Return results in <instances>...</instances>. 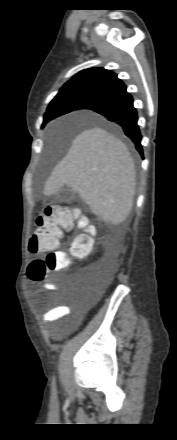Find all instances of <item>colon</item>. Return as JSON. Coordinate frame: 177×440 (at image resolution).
I'll return each instance as SVG.
<instances>
[{"label":"colon","mask_w":177,"mask_h":440,"mask_svg":"<svg viewBox=\"0 0 177 440\" xmlns=\"http://www.w3.org/2000/svg\"><path fill=\"white\" fill-rule=\"evenodd\" d=\"M79 227L86 234L76 237L70 252L77 258H87L94 253L92 235L94 230L88 224V219L71 206L53 205L36 219V228L30 239L29 251L33 253L47 252L44 259H37L30 264L29 274L32 280L39 282L45 272L63 271L68 267L66 254L55 251L62 231ZM50 287L54 285L49 283Z\"/></svg>","instance_id":"colon-1"}]
</instances>
